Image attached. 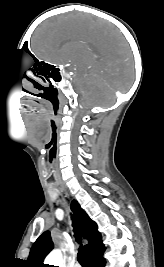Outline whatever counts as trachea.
Returning a JSON list of instances; mask_svg holds the SVG:
<instances>
[{"label":"trachea","instance_id":"obj_1","mask_svg":"<svg viewBox=\"0 0 164 267\" xmlns=\"http://www.w3.org/2000/svg\"><path fill=\"white\" fill-rule=\"evenodd\" d=\"M72 225H73L74 237L76 238V242L81 244L80 232H79L78 226H77V224H76V222L74 220H73V224ZM77 259H78L79 263L82 265V267H88L86 254H85V251H84V249L82 247V244H81V246L79 248Z\"/></svg>","mask_w":164,"mask_h":267}]
</instances>
